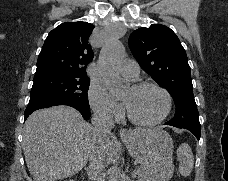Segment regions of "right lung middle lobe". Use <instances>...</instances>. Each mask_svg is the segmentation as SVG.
<instances>
[{"label": "right lung middle lobe", "mask_w": 228, "mask_h": 181, "mask_svg": "<svg viewBox=\"0 0 228 181\" xmlns=\"http://www.w3.org/2000/svg\"><path fill=\"white\" fill-rule=\"evenodd\" d=\"M88 77L52 74L34 78L29 104L66 102L89 110Z\"/></svg>", "instance_id": "1"}]
</instances>
